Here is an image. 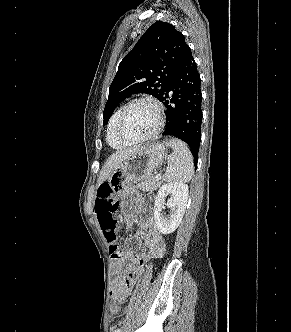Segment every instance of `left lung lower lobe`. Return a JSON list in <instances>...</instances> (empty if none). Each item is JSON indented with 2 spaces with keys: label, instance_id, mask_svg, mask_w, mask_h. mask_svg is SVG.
Instances as JSON below:
<instances>
[{
  "label": "left lung lower lobe",
  "instance_id": "0a47b994",
  "mask_svg": "<svg viewBox=\"0 0 291 332\" xmlns=\"http://www.w3.org/2000/svg\"><path fill=\"white\" fill-rule=\"evenodd\" d=\"M160 101L167 108L162 135L175 136L186 142L197 163L202 123L201 80L188 45Z\"/></svg>",
  "mask_w": 291,
  "mask_h": 332
}]
</instances>
